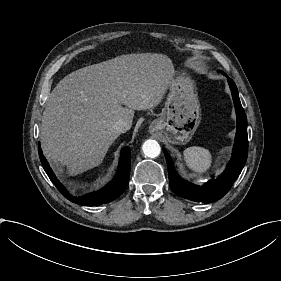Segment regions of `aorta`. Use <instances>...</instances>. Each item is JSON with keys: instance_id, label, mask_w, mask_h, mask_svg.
<instances>
[{"instance_id": "762f6f07", "label": "aorta", "mask_w": 281, "mask_h": 281, "mask_svg": "<svg viewBox=\"0 0 281 281\" xmlns=\"http://www.w3.org/2000/svg\"><path fill=\"white\" fill-rule=\"evenodd\" d=\"M142 150L145 156L155 158L160 154L161 147L156 140L148 139L143 143Z\"/></svg>"}]
</instances>
